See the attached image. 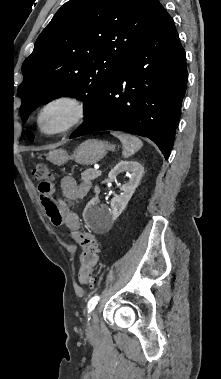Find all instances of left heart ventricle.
<instances>
[{
	"instance_id": "b2bd125f",
	"label": "left heart ventricle",
	"mask_w": 221,
	"mask_h": 379,
	"mask_svg": "<svg viewBox=\"0 0 221 379\" xmlns=\"http://www.w3.org/2000/svg\"><path fill=\"white\" fill-rule=\"evenodd\" d=\"M63 117V113L59 110H54L48 114L46 117V125L48 127H54L58 125Z\"/></svg>"
}]
</instances>
